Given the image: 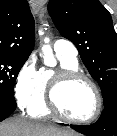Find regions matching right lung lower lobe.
<instances>
[{"label":"right lung lower lobe","instance_id":"obj_1","mask_svg":"<svg viewBox=\"0 0 117 136\" xmlns=\"http://www.w3.org/2000/svg\"><path fill=\"white\" fill-rule=\"evenodd\" d=\"M16 109L15 98L0 95V122L10 116Z\"/></svg>","mask_w":117,"mask_h":136}]
</instances>
